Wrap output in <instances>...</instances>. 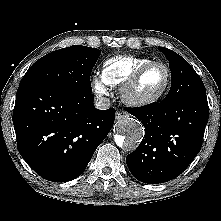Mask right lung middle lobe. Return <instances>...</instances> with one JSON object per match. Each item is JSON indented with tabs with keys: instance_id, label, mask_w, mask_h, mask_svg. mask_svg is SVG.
I'll return each mask as SVG.
<instances>
[{
	"instance_id": "1",
	"label": "right lung middle lobe",
	"mask_w": 221,
	"mask_h": 221,
	"mask_svg": "<svg viewBox=\"0 0 221 221\" xmlns=\"http://www.w3.org/2000/svg\"><path fill=\"white\" fill-rule=\"evenodd\" d=\"M100 50L74 45L51 52L36 61L19 86L38 85L92 93L90 75Z\"/></svg>"
}]
</instances>
